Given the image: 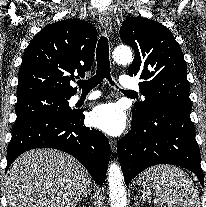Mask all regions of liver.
I'll use <instances>...</instances> for the list:
<instances>
[{
  "label": "liver",
  "mask_w": 206,
  "mask_h": 207,
  "mask_svg": "<svg viewBox=\"0 0 206 207\" xmlns=\"http://www.w3.org/2000/svg\"><path fill=\"white\" fill-rule=\"evenodd\" d=\"M90 184V174L72 156L35 149L13 162L4 189L9 207H75Z\"/></svg>",
  "instance_id": "obj_1"
}]
</instances>
